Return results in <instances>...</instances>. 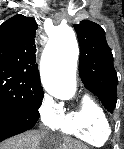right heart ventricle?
<instances>
[{"instance_id":"obj_1","label":"right heart ventricle","mask_w":124,"mask_h":149,"mask_svg":"<svg viewBox=\"0 0 124 149\" xmlns=\"http://www.w3.org/2000/svg\"><path fill=\"white\" fill-rule=\"evenodd\" d=\"M57 129L67 136L92 146H103L110 136V123L105 110L92 97H83L80 105L65 114Z\"/></svg>"}]
</instances>
